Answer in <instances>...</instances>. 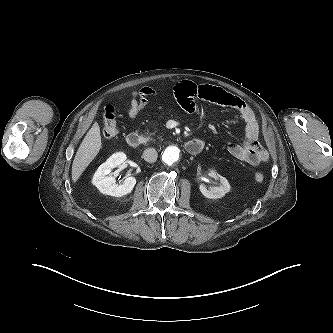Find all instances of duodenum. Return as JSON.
<instances>
[{
  "mask_svg": "<svg viewBox=\"0 0 333 333\" xmlns=\"http://www.w3.org/2000/svg\"><path fill=\"white\" fill-rule=\"evenodd\" d=\"M127 144L132 148H137L142 143L141 136L136 132H131L126 136ZM204 147V143L201 140L194 139L186 142L185 149L191 155L199 154Z\"/></svg>",
  "mask_w": 333,
  "mask_h": 333,
  "instance_id": "1",
  "label": "duodenum"
}]
</instances>
